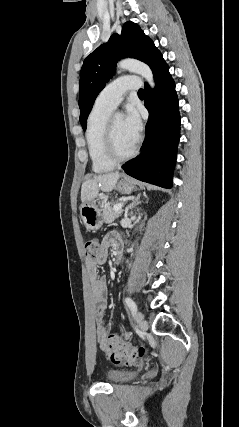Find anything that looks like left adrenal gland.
<instances>
[{
	"mask_svg": "<svg viewBox=\"0 0 239 427\" xmlns=\"http://www.w3.org/2000/svg\"><path fill=\"white\" fill-rule=\"evenodd\" d=\"M139 199H140V194L132 200L131 204L127 207L126 211L128 212V210H132L136 205L140 204L141 201Z\"/></svg>",
	"mask_w": 239,
	"mask_h": 427,
	"instance_id": "obj_1",
	"label": "left adrenal gland"
}]
</instances>
